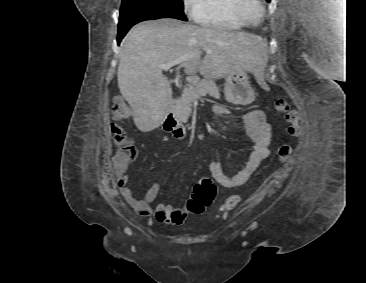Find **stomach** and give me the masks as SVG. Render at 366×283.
Listing matches in <instances>:
<instances>
[{
	"instance_id": "stomach-1",
	"label": "stomach",
	"mask_w": 366,
	"mask_h": 283,
	"mask_svg": "<svg viewBox=\"0 0 366 283\" xmlns=\"http://www.w3.org/2000/svg\"><path fill=\"white\" fill-rule=\"evenodd\" d=\"M245 89L252 93L249 78L246 71H233L226 75V82L224 85V95L228 102H238V91Z\"/></svg>"
}]
</instances>
